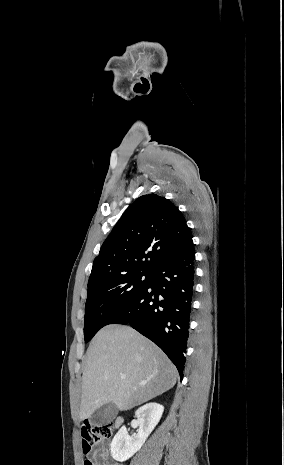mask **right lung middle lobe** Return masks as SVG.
<instances>
[{
	"instance_id": "dd1d6c3e",
	"label": "right lung middle lobe",
	"mask_w": 284,
	"mask_h": 465,
	"mask_svg": "<svg viewBox=\"0 0 284 465\" xmlns=\"http://www.w3.org/2000/svg\"><path fill=\"white\" fill-rule=\"evenodd\" d=\"M149 279L150 274H128L89 288L85 304V342H89L102 327L124 310L146 287Z\"/></svg>"
}]
</instances>
